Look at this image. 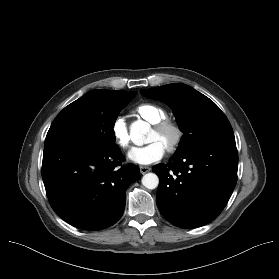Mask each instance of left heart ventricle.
<instances>
[{"instance_id": "left-heart-ventricle-1", "label": "left heart ventricle", "mask_w": 279, "mask_h": 279, "mask_svg": "<svg viewBox=\"0 0 279 279\" xmlns=\"http://www.w3.org/2000/svg\"><path fill=\"white\" fill-rule=\"evenodd\" d=\"M171 138L172 134L170 132L159 134L152 129L147 138V142L158 141L165 147Z\"/></svg>"}]
</instances>
